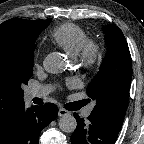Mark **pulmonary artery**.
I'll use <instances>...</instances> for the list:
<instances>
[{"instance_id": "1", "label": "pulmonary artery", "mask_w": 144, "mask_h": 144, "mask_svg": "<svg viewBox=\"0 0 144 144\" xmlns=\"http://www.w3.org/2000/svg\"><path fill=\"white\" fill-rule=\"evenodd\" d=\"M51 91V88L49 86H41L38 88H33L28 91V97L29 98H35V97H44L48 95ZM94 104H91L88 108L85 109L83 115L84 117H89L92 110H93Z\"/></svg>"}]
</instances>
